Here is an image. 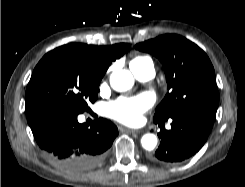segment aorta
I'll list each match as a JSON object with an SVG mask.
<instances>
[{"instance_id":"aorta-1","label":"aorta","mask_w":245,"mask_h":187,"mask_svg":"<svg viewBox=\"0 0 245 187\" xmlns=\"http://www.w3.org/2000/svg\"><path fill=\"white\" fill-rule=\"evenodd\" d=\"M133 84L134 78L128 70L118 69L112 72L110 76V85L118 92L129 90ZM141 144L145 150L151 151L157 145V137L154 134H145L141 138Z\"/></svg>"}]
</instances>
